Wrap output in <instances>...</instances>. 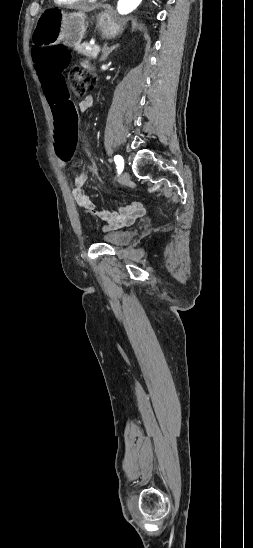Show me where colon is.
Returning <instances> with one entry per match:
<instances>
[{
  "instance_id": "5ec220e1",
  "label": "colon",
  "mask_w": 253,
  "mask_h": 548,
  "mask_svg": "<svg viewBox=\"0 0 253 548\" xmlns=\"http://www.w3.org/2000/svg\"><path fill=\"white\" fill-rule=\"evenodd\" d=\"M35 70L40 79V93L46 96L47 105H51L54 127L52 148L60 159L71 157L78 135L76 99L70 98L68 81L65 80L69 54L61 45L38 49L34 52ZM93 78L80 69L69 73V84L75 96H83L92 85ZM93 179L104 182L100 166L96 161L86 162Z\"/></svg>"
}]
</instances>
